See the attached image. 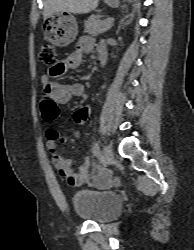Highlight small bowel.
<instances>
[{"instance_id": "1", "label": "small bowel", "mask_w": 194, "mask_h": 250, "mask_svg": "<svg viewBox=\"0 0 194 250\" xmlns=\"http://www.w3.org/2000/svg\"><path fill=\"white\" fill-rule=\"evenodd\" d=\"M95 48L94 42L90 37H82L76 49L63 61L57 63L54 67V73L51 75H62L71 69L78 68L81 65L82 58L85 54L90 53ZM97 52H105L103 46L97 47ZM106 53V52H105ZM42 86L44 90L50 93L56 101L66 103L72 98H80L84 95V86L79 83L62 84L50 81V75L42 76ZM91 113L90 106L79 108L73 114V120L77 124H84ZM52 121V120H49ZM47 149L51 153V161L54 167L66 178L72 186H80L89 179L90 161L86 158L79 166L77 172L72 171V161L65 155L58 153L56 150L58 134L55 129L49 128L46 131Z\"/></svg>"}]
</instances>
